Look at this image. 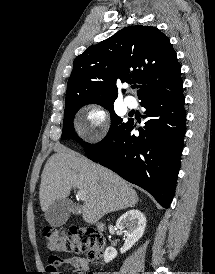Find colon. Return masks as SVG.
<instances>
[{"mask_svg":"<svg viewBox=\"0 0 215 274\" xmlns=\"http://www.w3.org/2000/svg\"><path fill=\"white\" fill-rule=\"evenodd\" d=\"M48 248L62 253L87 252L91 260H98L102 254L104 239L94 228H71L60 231L52 226L43 228Z\"/></svg>","mask_w":215,"mask_h":274,"instance_id":"colon-1","label":"colon"}]
</instances>
